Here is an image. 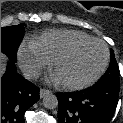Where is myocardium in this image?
Masks as SVG:
<instances>
[{
    "mask_svg": "<svg viewBox=\"0 0 123 123\" xmlns=\"http://www.w3.org/2000/svg\"><path fill=\"white\" fill-rule=\"evenodd\" d=\"M88 43H99L103 46L104 51H105V56H104V60H103L101 67L91 78H89L88 80L83 81V82L69 83V82H63V81L58 80V83L62 88L68 89V90H80V89L87 88V87L93 85L97 80H99V78L105 72V70L108 66V63H109V59H110V53H109L108 46L102 40H99L97 38H89V39L77 41V42L71 44L70 46H68L67 48H65L63 51H61L52 60V71H53V73H55L57 66L63 60H65L66 58L71 56L77 49H79L80 47H82Z\"/></svg>",
    "mask_w": 123,
    "mask_h": 123,
    "instance_id": "f54148a6",
    "label": "myocardium"
}]
</instances>
